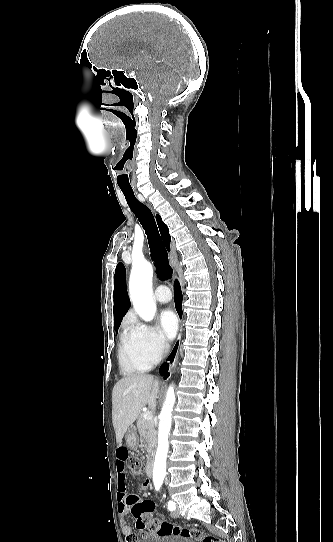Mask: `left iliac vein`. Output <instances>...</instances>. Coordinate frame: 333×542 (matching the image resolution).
<instances>
[{
  "label": "left iliac vein",
  "mask_w": 333,
  "mask_h": 542,
  "mask_svg": "<svg viewBox=\"0 0 333 542\" xmlns=\"http://www.w3.org/2000/svg\"><path fill=\"white\" fill-rule=\"evenodd\" d=\"M172 515H173V517H178V516H179V512H178V511H174Z\"/></svg>",
  "instance_id": "4c4485c4"
}]
</instances>
